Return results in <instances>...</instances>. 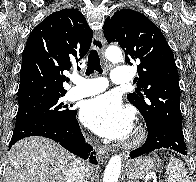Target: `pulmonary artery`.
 I'll return each instance as SVG.
<instances>
[{"instance_id": "1", "label": "pulmonary artery", "mask_w": 196, "mask_h": 182, "mask_svg": "<svg viewBox=\"0 0 196 182\" xmlns=\"http://www.w3.org/2000/svg\"><path fill=\"white\" fill-rule=\"evenodd\" d=\"M133 74L128 67H116L111 75V81L116 85H128L132 82ZM75 86L68 91L70 100H77L103 92L107 88V81L103 77L77 78Z\"/></svg>"}]
</instances>
